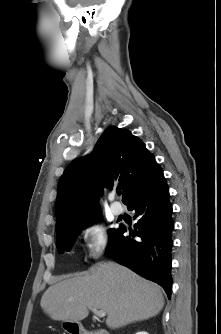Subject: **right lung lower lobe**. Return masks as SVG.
<instances>
[{"label":"right lung lower lobe","instance_id":"right-lung-lower-lobe-1","mask_svg":"<svg viewBox=\"0 0 221 334\" xmlns=\"http://www.w3.org/2000/svg\"><path fill=\"white\" fill-rule=\"evenodd\" d=\"M139 220L129 236L121 226L107 253L117 263L125 265L141 276L158 283L168 298L172 291V204L163 174L148 188L137 194L127 204ZM136 236L137 238H131Z\"/></svg>","mask_w":221,"mask_h":334}]
</instances>
